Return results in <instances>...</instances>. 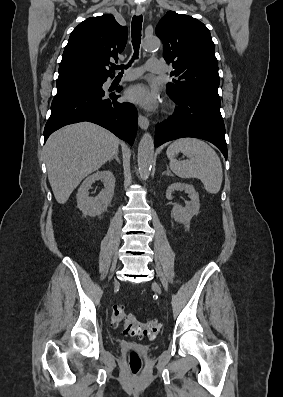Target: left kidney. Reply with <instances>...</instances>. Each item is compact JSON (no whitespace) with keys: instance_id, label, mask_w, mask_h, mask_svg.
<instances>
[{"instance_id":"left-kidney-1","label":"left kidney","mask_w":283,"mask_h":397,"mask_svg":"<svg viewBox=\"0 0 283 397\" xmlns=\"http://www.w3.org/2000/svg\"><path fill=\"white\" fill-rule=\"evenodd\" d=\"M174 191H185L189 195L190 202L186 203L185 207L174 205L171 216L179 223L189 224L192 217L199 213V195L192 185L176 182L168 186L166 190V198L168 200H172Z\"/></svg>"}]
</instances>
